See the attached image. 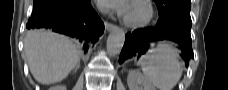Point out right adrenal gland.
I'll use <instances>...</instances> for the list:
<instances>
[{
  "mask_svg": "<svg viewBox=\"0 0 228 90\" xmlns=\"http://www.w3.org/2000/svg\"><path fill=\"white\" fill-rule=\"evenodd\" d=\"M79 68H80V59L78 60V63L76 65L74 71L76 72Z\"/></svg>",
  "mask_w": 228,
  "mask_h": 90,
  "instance_id": "right-adrenal-gland-1",
  "label": "right adrenal gland"
}]
</instances>
